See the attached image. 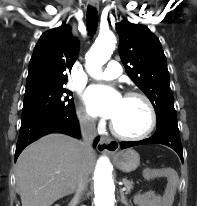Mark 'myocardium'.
I'll use <instances>...</instances> for the list:
<instances>
[{
  "label": "myocardium",
  "instance_id": "myocardium-1",
  "mask_svg": "<svg viewBox=\"0 0 197 206\" xmlns=\"http://www.w3.org/2000/svg\"><path fill=\"white\" fill-rule=\"evenodd\" d=\"M139 98L141 99L148 111H149V125L146 128V130L140 134H136V135H131V134H125L120 132L116 126L114 125L113 121L110 122V130L111 132L118 138L120 139H124V140H142L146 137H148L155 129L156 124H157V114H156V110L155 107L152 103V101L150 100V98L148 96H146L145 94L138 92V91H129L126 92L124 94V98Z\"/></svg>",
  "mask_w": 197,
  "mask_h": 206
}]
</instances>
